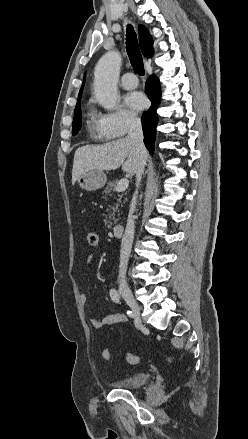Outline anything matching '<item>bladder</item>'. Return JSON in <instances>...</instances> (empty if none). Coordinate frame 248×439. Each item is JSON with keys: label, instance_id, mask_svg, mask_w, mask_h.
<instances>
[{"label": "bladder", "instance_id": "31cf9c89", "mask_svg": "<svg viewBox=\"0 0 248 439\" xmlns=\"http://www.w3.org/2000/svg\"><path fill=\"white\" fill-rule=\"evenodd\" d=\"M148 380V373L139 372L114 381V385L120 389L131 390L147 384Z\"/></svg>", "mask_w": 248, "mask_h": 439}]
</instances>
